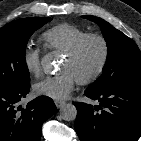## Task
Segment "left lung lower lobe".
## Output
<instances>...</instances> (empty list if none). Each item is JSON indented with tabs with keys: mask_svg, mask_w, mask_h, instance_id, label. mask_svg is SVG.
I'll return each instance as SVG.
<instances>
[{
	"mask_svg": "<svg viewBox=\"0 0 141 141\" xmlns=\"http://www.w3.org/2000/svg\"><path fill=\"white\" fill-rule=\"evenodd\" d=\"M85 95L98 100L100 105L73 103L77 108L75 129L81 141L138 140L141 135V85H113L99 91L88 89Z\"/></svg>",
	"mask_w": 141,
	"mask_h": 141,
	"instance_id": "left-lung-lower-lobe-1",
	"label": "left lung lower lobe"
}]
</instances>
